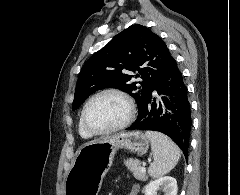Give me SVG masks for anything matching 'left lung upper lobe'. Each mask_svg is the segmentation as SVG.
Returning <instances> with one entry per match:
<instances>
[{
	"mask_svg": "<svg viewBox=\"0 0 240 195\" xmlns=\"http://www.w3.org/2000/svg\"><path fill=\"white\" fill-rule=\"evenodd\" d=\"M171 58L158 35L139 24L128 27L84 64L72 109H77L97 90L117 88L135 98L140 112L150 87L164 73ZM132 78L141 81L133 82Z\"/></svg>",
	"mask_w": 240,
	"mask_h": 195,
	"instance_id": "left-lung-upper-lobe-1",
	"label": "left lung upper lobe"
}]
</instances>
